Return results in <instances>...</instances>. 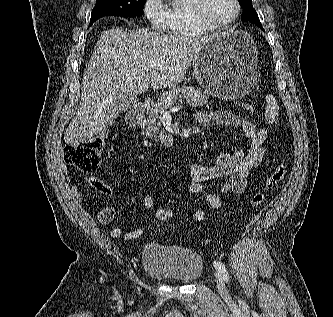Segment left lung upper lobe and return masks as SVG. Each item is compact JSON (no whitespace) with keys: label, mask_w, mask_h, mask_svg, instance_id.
Listing matches in <instances>:
<instances>
[{"label":"left lung upper lobe","mask_w":333,"mask_h":317,"mask_svg":"<svg viewBox=\"0 0 333 317\" xmlns=\"http://www.w3.org/2000/svg\"><path fill=\"white\" fill-rule=\"evenodd\" d=\"M241 7L244 9V14L241 18L242 21H249L257 25L260 29L262 28L261 22L259 20L258 14L252 5V0H238Z\"/></svg>","instance_id":"left-lung-upper-lobe-1"}]
</instances>
